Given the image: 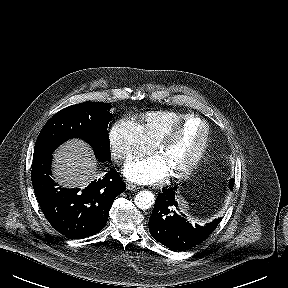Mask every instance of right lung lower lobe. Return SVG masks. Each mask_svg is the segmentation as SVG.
<instances>
[{
    "label": "right lung lower lobe",
    "mask_w": 288,
    "mask_h": 288,
    "mask_svg": "<svg viewBox=\"0 0 288 288\" xmlns=\"http://www.w3.org/2000/svg\"><path fill=\"white\" fill-rule=\"evenodd\" d=\"M51 159L52 154L35 155L31 171L34 192L51 226L72 239L101 231L114 199L126 189L118 172L111 169L81 191L64 189L51 178Z\"/></svg>",
    "instance_id": "obj_1"
}]
</instances>
